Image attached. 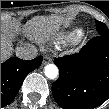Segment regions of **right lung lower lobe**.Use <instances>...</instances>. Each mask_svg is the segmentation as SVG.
<instances>
[{"mask_svg":"<svg viewBox=\"0 0 109 109\" xmlns=\"http://www.w3.org/2000/svg\"><path fill=\"white\" fill-rule=\"evenodd\" d=\"M41 63L42 56H38L33 60L13 57L1 64V107L13 101L27 74Z\"/></svg>","mask_w":109,"mask_h":109,"instance_id":"obj_1","label":"right lung lower lobe"}]
</instances>
